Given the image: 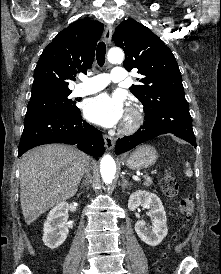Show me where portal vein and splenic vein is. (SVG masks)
I'll list each match as a JSON object with an SVG mask.
<instances>
[{
  "instance_id": "18ae733b",
  "label": "portal vein and splenic vein",
  "mask_w": 221,
  "mask_h": 274,
  "mask_svg": "<svg viewBox=\"0 0 221 274\" xmlns=\"http://www.w3.org/2000/svg\"><path fill=\"white\" fill-rule=\"evenodd\" d=\"M133 179L135 180V181H139L140 180V178L138 177V176H133Z\"/></svg>"
}]
</instances>
